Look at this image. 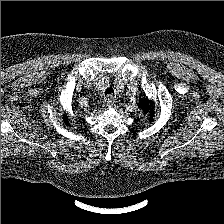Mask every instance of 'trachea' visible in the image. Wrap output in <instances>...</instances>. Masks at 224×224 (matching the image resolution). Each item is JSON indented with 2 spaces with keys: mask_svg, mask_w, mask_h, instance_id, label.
Segmentation results:
<instances>
[{
  "mask_svg": "<svg viewBox=\"0 0 224 224\" xmlns=\"http://www.w3.org/2000/svg\"><path fill=\"white\" fill-rule=\"evenodd\" d=\"M105 95H114V90L113 88L109 87L105 91Z\"/></svg>",
  "mask_w": 224,
  "mask_h": 224,
  "instance_id": "trachea-1",
  "label": "trachea"
}]
</instances>
